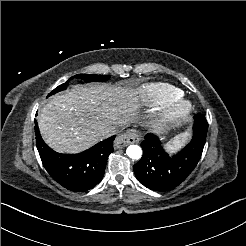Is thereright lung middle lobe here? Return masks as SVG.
<instances>
[{
    "label": "right lung middle lobe",
    "instance_id": "obj_1",
    "mask_svg": "<svg viewBox=\"0 0 246 246\" xmlns=\"http://www.w3.org/2000/svg\"><path fill=\"white\" fill-rule=\"evenodd\" d=\"M76 78L83 79V80L88 81V82H92V81L101 82V81L108 80L110 78V76H108V75H93V74H78V75H76ZM70 79H73V77ZM68 84H69V80L66 81L65 83L59 85L58 87H56L51 93L48 94V97L51 96L52 94H55V93L61 91V90H65L67 88Z\"/></svg>",
    "mask_w": 246,
    "mask_h": 246
}]
</instances>
